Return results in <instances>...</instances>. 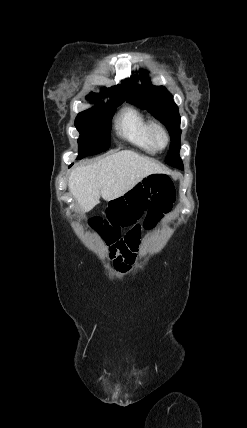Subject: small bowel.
Segmentation results:
<instances>
[{
	"mask_svg": "<svg viewBox=\"0 0 247 428\" xmlns=\"http://www.w3.org/2000/svg\"><path fill=\"white\" fill-rule=\"evenodd\" d=\"M134 260H135V251L129 255L119 254L113 258L116 269L123 273L129 270Z\"/></svg>",
	"mask_w": 247,
	"mask_h": 428,
	"instance_id": "small-bowel-1",
	"label": "small bowel"
}]
</instances>
